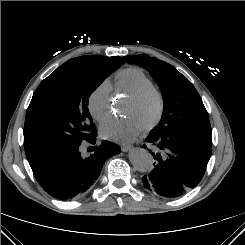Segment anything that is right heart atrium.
<instances>
[{
    "label": "right heart atrium",
    "mask_w": 245,
    "mask_h": 245,
    "mask_svg": "<svg viewBox=\"0 0 245 245\" xmlns=\"http://www.w3.org/2000/svg\"><path fill=\"white\" fill-rule=\"evenodd\" d=\"M113 87L108 80L102 81L89 95L88 109L98 122H106L111 116Z\"/></svg>",
    "instance_id": "d8ad5b80"
}]
</instances>
